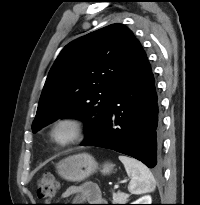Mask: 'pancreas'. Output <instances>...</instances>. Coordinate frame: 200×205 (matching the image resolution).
Returning <instances> with one entry per match:
<instances>
[{
  "instance_id": "pancreas-1",
  "label": "pancreas",
  "mask_w": 200,
  "mask_h": 205,
  "mask_svg": "<svg viewBox=\"0 0 200 205\" xmlns=\"http://www.w3.org/2000/svg\"><path fill=\"white\" fill-rule=\"evenodd\" d=\"M129 198V194L124 192L113 193V202L116 204H125Z\"/></svg>"
}]
</instances>
